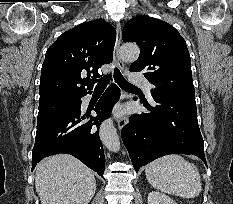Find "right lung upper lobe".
<instances>
[{
	"instance_id": "right-lung-upper-lobe-1",
	"label": "right lung upper lobe",
	"mask_w": 233,
	"mask_h": 204,
	"mask_svg": "<svg viewBox=\"0 0 233 204\" xmlns=\"http://www.w3.org/2000/svg\"><path fill=\"white\" fill-rule=\"evenodd\" d=\"M115 39V29L103 20L81 23L64 32L46 52L39 103L87 94L93 84L81 76H102L98 69L112 61Z\"/></svg>"
}]
</instances>
